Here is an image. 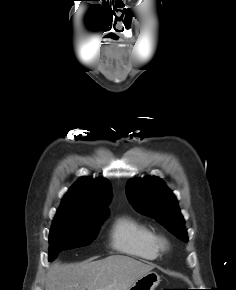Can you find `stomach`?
<instances>
[{
    "label": "stomach",
    "mask_w": 236,
    "mask_h": 290,
    "mask_svg": "<svg viewBox=\"0 0 236 290\" xmlns=\"http://www.w3.org/2000/svg\"><path fill=\"white\" fill-rule=\"evenodd\" d=\"M159 283L160 276L156 272L150 271L135 280L128 290H155Z\"/></svg>",
    "instance_id": "1"
}]
</instances>
